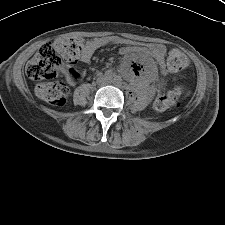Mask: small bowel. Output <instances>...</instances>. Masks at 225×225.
<instances>
[{
  "label": "small bowel",
  "mask_w": 225,
  "mask_h": 225,
  "mask_svg": "<svg viewBox=\"0 0 225 225\" xmlns=\"http://www.w3.org/2000/svg\"><path fill=\"white\" fill-rule=\"evenodd\" d=\"M123 41L116 37H97L90 40H87L83 46L80 56V61L83 63H89L91 57L101 47H104L109 44H120ZM134 52H140L148 54L152 57L156 62L161 63L165 56V47L160 44H149L146 46H123L119 49V53L122 55H129ZM69 69L63 67L62 72L67 76L70 82L77 83L74 80L70 79ZM79 74L80 80L85 75V71H81Z\"/></svg>",
  "instance_id": "c3829d8e"
}]
</instances>
